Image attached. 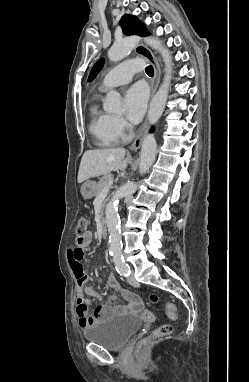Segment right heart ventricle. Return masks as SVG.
Returning <instances> with one entry per match:
<instances>
[{
  "mask_svg": "<svg viewBox=\"0 0 249 382\" xmlns=\"http://www.w3.org/2000/svg\"><path fill=\"white\" fill-rule=\"evenodd\" d=\"M89 114L90 131L98 144L103 147L114 145L118 141V137L112 131V116L102 110L97 101L91 104Z\"/></svg>",
  "mask_w": 249,
  "mask_h": 382,
  "instance_id": "obj_1",
  "label": "right heart ventricle"
}]
</instances>
